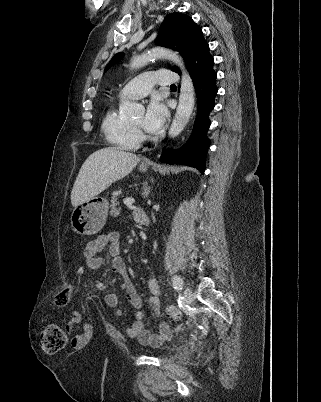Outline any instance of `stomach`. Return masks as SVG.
<instances>
[{"label":"stomach","instance_id":"stomach-1","mask_svg":"<svg viewBox=\"0 0 321 402\" xmlns=\"http://www.w3.org/2000/svg\"><path fill=\"white\" fill-rule=\"evenodd\" d=\"M146 172V165L139 166ZM108 214V202L100 197H92L74 208L71 215L73 230L82 235H94L104 226Z\"/></svg>","mask_w":321,"mask_h":402}]
</instances>
